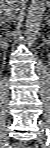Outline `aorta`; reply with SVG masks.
<instances>
[{"label":"aorta","instance_id":"762f6f07","mask_svg":"<svg viewBox=\"0 0 50 148\" xmlns=\"http://www.w3.org/2000/svg\"><path fill=\"white\" fill-rule=\"evenodd\" d=\"M44 11L45 5L41 0H32L25 21V35L29 46H32L36 40Z\"/></svg>","mask_w":50,"mask_h":148}]
</instances>
